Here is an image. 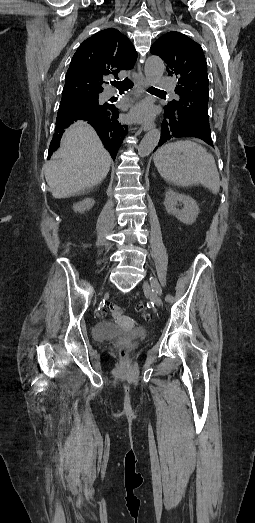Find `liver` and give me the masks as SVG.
I'll return each mask as SVG.
<instances>
[{"label": "liver", "instance_id": "liver-1", "mask_svg": "<svg viewBox=\"0 0 255 523\" xmlns=\"http://www.w3.org/2000/svg\"><path fill=\"white\" fill-rule=\"evenodd\" d=\"M111 162L95 130L85 122H75L67 128L59 150L52 154L43 170L53 198H68L101 184Z\"/></svg>", "mask_w": 255, "mask_h": 523}]
</instances>
